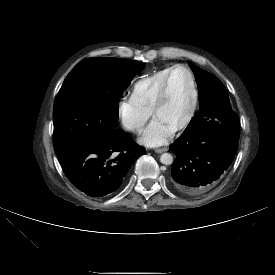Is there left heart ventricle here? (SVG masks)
<instances>
[{
  "label": "left heart ventricle",
  "instance_id": "b2bd125f",
  "mask_svg": "<svg viewBox=\"0 0 275 275\" xmlns=\"http://www.w3.org/2000/svg\"><path fill=\"white\" fill-rule=\"evenodd\" d=\"M192 88L188 73L177 69L171 76L168 96L155 117L175 128L188 115L192 104Z\"/></svg>",
  "mask_w": 275,
  "mask_h": 275
}]
</instances>
